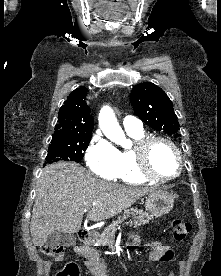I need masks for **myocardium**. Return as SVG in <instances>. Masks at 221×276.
<instances>
[{"mask_svg": "<svg viewBox=\"0 0 221 276\" xmlns=\"http://www.w3.org/2000/svg\"><path fill=\"white\" fill-rule=\"evenodd\" d=\"M159 141L167 143L176 154L177 161H178V169H177V172L173 175L161 176L156 174L151 168L150 157H149L150 149L153 146V144ZM134 155H135V160H136L139 173L141 174V176H143L145 179L149 181H154V182L171 181L179 177L183 170V159L178 146L174 141H172L170 138L165 136H146L142 138L135 144Z\"/></svg>", "mask_w": 221, "mask_h": 276, "instance_id": "obj_1", "label": "myocardium"}]
</instances>
